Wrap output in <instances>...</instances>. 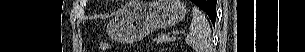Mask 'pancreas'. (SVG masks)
Listing matches in <instances>:
<instances>
[{
    "instance_id": "pancreas-1",
    "label": "pancreas",
    "mask_w": 305,
    "mask_h": 52,
    "mask_svg": "<svg viewBox=\"0 0 305 52\" xmlns=\"http://www.w3.org/2000/svg\"><path fill=\"white\" fill-rule=\"evenodd\" d=\"M174 41V38L173 37H170L169 35H165V34H161V35H158V37H156L154 39V42L156 43H169V42H172Z\"/></svg>"
}]
</instances>
